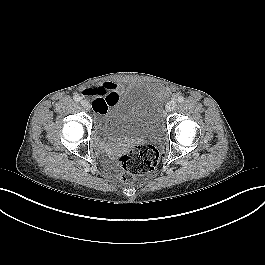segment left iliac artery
<instances>
[{"label": "left iliac artery", "instance_id": "left-iliac-artery-1", "mask_svg": "<svg viewBox=\"0 0 265 265\" xmlns=\"http://www.w3.org/2000/svg\"><path fill=\"white\" fill-rule=\"evenodd\" d=\"M176 100H177L178 103H182L184 101V97L183 96H178Z\"/></svg>", "mask_w": 265, "mask_h": 265}]
</instances>
